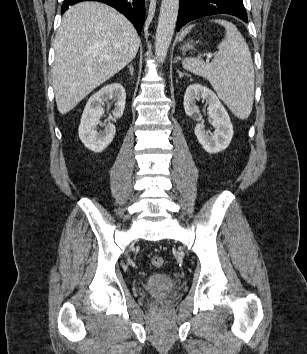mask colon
Returning a JSON list of instances; mask_svg holds the SVG:
<instances>
[{
	"label": "colon",
	"instance_id": "5ec220e1",
	"mask_svg": "<svg viewBox=\"0 0 307 354\" xmlns=\"http://www.w3.org/2000/svg\"><path fill=\"white\" fill-rule=\"evenodd\" d=\"M151 263L156 268H161L164 265V259L161 256L155 255L151 258Z\"/></svg>",
	"mask_w": 307,
	"mask_h": 354
}]
</instances>
